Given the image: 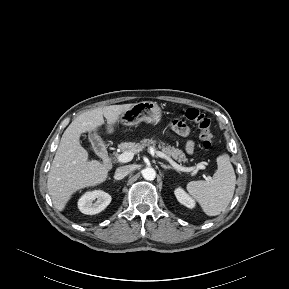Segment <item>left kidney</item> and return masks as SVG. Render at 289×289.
Masks as SVG:
<instances>
[{
    "instance_id": "left-kidney-1",
    "label": "left kidney",
    "mask_w": 289,
    "mask_h": 289,
    "mask_svg": "<svg viewBox=\"0 0 289 289\" xmlns=\"http://www.w3.org/2000/svg\"><path fill=\"white\" fill-rule=\"evenodd\" d=\"M174 193L182 205L190 209L195 207V201L182 188L175 189Z\"/></svg>"
}]
</instances>
